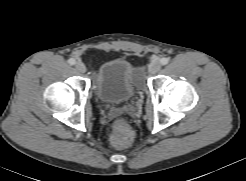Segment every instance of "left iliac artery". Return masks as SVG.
Wrapping results in <instances>:
<instances>
[{
	"mask_svg": "<svg viewBox=\"0 0 246 181\" xmlns=\"http://www.w3.org/2000/svg\"><path fill=\"white\" fill-rule=\"evenodd\" d=\"M160 63H161L162 65H166V64L169 63V59L166 58V57H163V58L160 59Z\"/></svg>",
	"mask_w": 246,
	"mask_h": 181,
	"instance_id": "44dca946",
	"label": "left iliac artery"
}]
</instances>
